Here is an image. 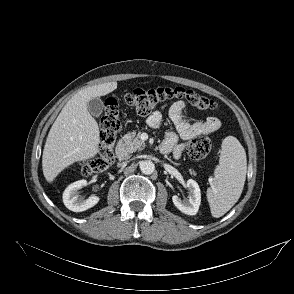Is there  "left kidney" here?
Returning <instances> with one entry per match:
<instances>
[{"label": "left kidney", "mask_w": 294, "mask_h": 294, "mask_svg": "<svg viewBox=\"0 0 294 294\" xmlns=\"http://www.w3.org/2000/svg\"><path fill=\"white\" fill-rule=\"evenodd\" d=\"M186 185L189 189V199L182 201L178 196L174 195L172 201L182 213L195 215L198 212L201 203V191L198 183L193 179H189Z\"/></svg>", "instance_id": "5707ae66"}]
</instances>
